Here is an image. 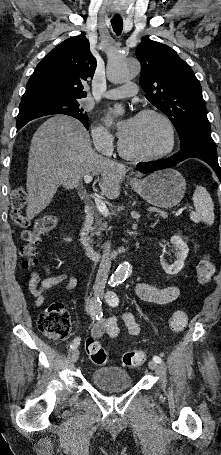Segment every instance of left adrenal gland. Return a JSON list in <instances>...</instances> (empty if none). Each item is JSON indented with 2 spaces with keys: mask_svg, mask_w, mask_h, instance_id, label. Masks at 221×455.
<instances>
[{
  "mask_svg": "<svg viewBox=\"0 0 221 455\" xmlns=\"http://www.w3.org/2000/svg\"><path fill=\"white\" fill-rule=\"evenodd\" d=\"M157 223H158V220L153 225H151V227L153 228L154 226H156Z\"/></svg>",
  "mask_w": 221,
  "mask_h": 455,
  "instance_id": "1",
  "label": "left adrenal gland"
}]
</instances>
